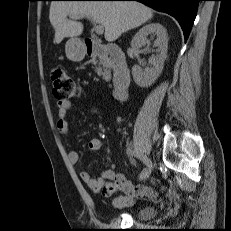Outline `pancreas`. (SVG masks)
Wrapping results in <instances>:
<instances>
[{"label":"pancreas","mask_w":231,"mask_h":231,"mask_svg":"<svg viewBox=\"0 0 231 231\" xmlns=\"http://www.w3.org/2000/svg\"><path fill=\"white\" fill-rule=\"evenodd\" d=\"M100 65H102V67ZM96 72L98 75L103 76V79L109 78L110 71L105 60H100L99 66L96 68Z\"/></svg>","instance_id":"1"}]
</instances>
